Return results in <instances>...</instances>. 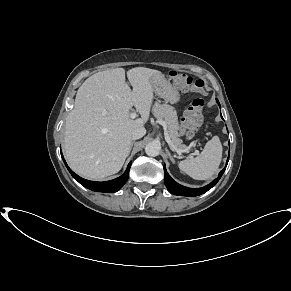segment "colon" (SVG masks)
Here are the masks:
<instances>
[{"instance_id":"5ec220e1","label":"colon","mask_w":291,"mask_h":291,"mask_svg":"<svg viewBox=\"0 0 291 291\" xmlns=\"http://www.w3.org/2000/svg\"><path fill=\"white\" fill-rule=\"evenodd\" d=\"M170 76L173 81L178 82V83H183L187 85H193L198 87L199 84L197 80H194L192 77L181 73L179 71H171ZM204 106V100L201 98H197L193 101L192 106L190 110L186 113L184 119H183V124L188 128H192L195 125H197L202 117V109Z\"/></svg>"}]
</instances>
